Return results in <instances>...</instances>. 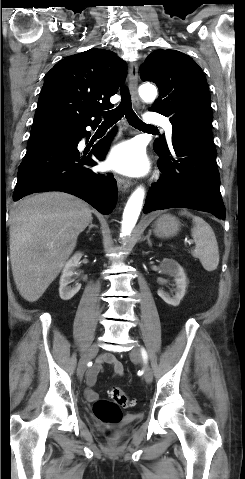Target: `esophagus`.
<instances>
[{
  "label": "esophagus",
  "mask_w": 245,
  "mask_h": 479,
  "mask_svg": "<svg viewBox=\"0 0 245 479\" xmlns=\"http://www.w3.org/2000/svg\"><path fill=\"white\" fill-rule=\"evenodd\" d=\"M128 85L132 101L136 107L140 105L138 97V67L136 63H131L128 72ZM118 188L121 192H126L132 185L131 181L116 175Z\"/></svg>",
  "instance_id": "esophagus-1"
}]
</instances>
